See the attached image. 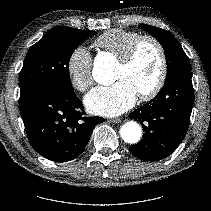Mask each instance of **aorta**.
<instances>
[{
  "mask_svg": "<svg viewBox=\"0 0 211 211\" xmlns=\"http://www.w3.org/2000/svg\"><path fill=\"white\" fill-rule=\"evenodd\" d=\"M93 78L97 83L102 85H110L114 82V75L110 66L101 63L98 59L94 63ZM141 134V127L134 121L126 122L120 129L122 139L129 144L139 142Z\"/></svg>",
  "mask_w": 211,
  "mask_h": 211,
  "instance_id": "762f6f07",
  "label": "aorta"
}]
</instances>
